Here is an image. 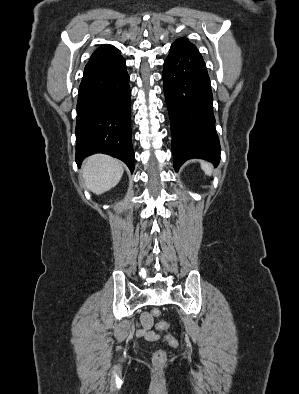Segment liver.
<instances>
[{
	"label": "liver",
	"instance_id": "obj_1",
	"mask_svg": "<svg viewBox=\"0 0 299 394\" xmlns=\"http://www.w3.org/2000/svg\"><path fill=\"white\" fill-rule=\"evenodd\" d=\"M123 163L108 155L96 154L84 161L82 175L86 187L99 195L115 187L123 175Z\"/></svg>",
	"mask_w": 299,
	"mask_h": 394
}]
</instances>
